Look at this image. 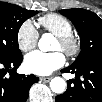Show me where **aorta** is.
<instances>
[{
    "mask_svg": "<svg viewBox=\"0 0 102 102\" xmlns=\"http://www.w3.org/2000/svg\"><path fill=\"white\" fill-rule=\"evenodd\" d=\"M54 42V37L51 34H43L39 40L38 47L41 51L46 52L52 49L51 44ZM50 88L54 93L61 94L65 91L66 82L61 77H55L50 81Z\"/></svg>",
    "mask_w": 102,
    "mask_h": 102,
    "instance_id": "1",
    "label": "aorta"
}]
</instances>
